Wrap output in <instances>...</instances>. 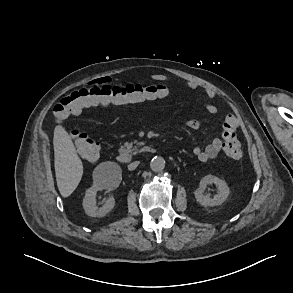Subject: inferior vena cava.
Segmentation results:
<instances>
[{"instance_id": "obj_1", "label": "inferior vena cava", "mask_w": 293, "mask_h": 293, "mask_svg": "<svg viewBox=\"0 0 293 293\" xmlns=\"http://www.w3.org/2000/svg\"><path fill=\"white\" fill-rule=\"evenodd\" d=\"M138 165H139V161L132 162L131 164L128 165V169L129 170H134V169H136V167Z\"/></svg>"}]
</instances>
